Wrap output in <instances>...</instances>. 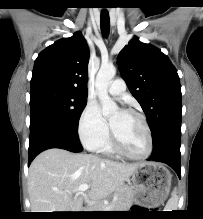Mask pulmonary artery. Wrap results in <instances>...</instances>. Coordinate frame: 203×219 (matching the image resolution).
Here are the masks:
<instances>
[{"label":"pulmonary artery","mask_w":203,"mask_h":219,"mask_svg":"<svg viewBox=\"0 0 203 219\" xmlns=\"http://www.w3.org/2000/svg\"><path fill=\"white\" fill-rule=\"evenodd\" d=\"M126 89L125 82L122 79H115L108 88V91L113 96H119Z\"/></svg>","instance_id":"obj_1"}]
</instances>
